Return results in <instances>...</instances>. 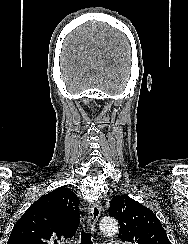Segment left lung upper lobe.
I'll use <instances>...</instances> for the list:
<instances>
[{
	"label": "left lung upper lobe",
	"mask_w": 188,
	"mask_h": 244,
	"mask_svg": "<svg viewBox=\"0 0 188 244\" xmlns=\"http://www.w3.org/2000/svg\"><path fill=\"white\" fill-rule=\"evenodd\" d=\"M109 214L120 225L119 238L130 244H170L166 231L152 210L128 195L114 196Z\"/></svg>",
	"instance_id": "1"
}]
</instances>
